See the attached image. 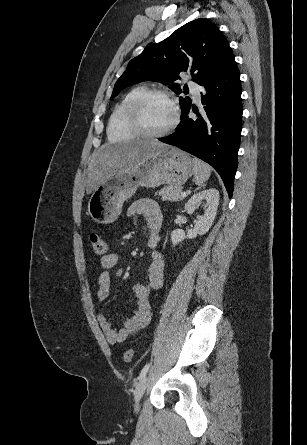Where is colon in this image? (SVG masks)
Wrapping results in <instances>:
<instances>
[{"instance_id":"5ec220e1","label":"colon","mask_w":307,"mask_h":445,"mask_svg":"<svg viewBox=\"0 0 307 445\" xmlns=\"http://www.w3.org/2000/svg\"><path fill=\"white\" fill-rule=\"evenodd\" d=\"M90 243L94 252L98 255L104 256L107 253L108 246L103 237L99 233H92L90 235ZM134 351L132 348H127L123 353V360L126 363L132 361Z\"/></svg>"}]
</instances>
